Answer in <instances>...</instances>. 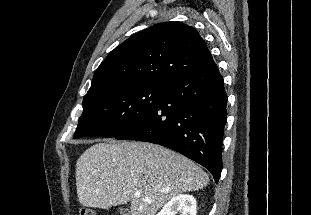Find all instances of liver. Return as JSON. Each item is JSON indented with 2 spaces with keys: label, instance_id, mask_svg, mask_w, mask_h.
Instances as JSON below:
<instances>
[{
  "label": "liver",
  "instance_id": "liver-1",
  "mask_svg": "<svg viewBox=\"0 0 311 215\" xmlns=\"http://www.w3.org/2000/svg\"><path fill=\"white\" fill-rule=\"evenodd\" d=\"M208 183V174L192 160L151 143L99 142L76 162L81 205L109 209L130 202L131 215H155L171 198Z\"/></svg>",
  "mask_w": 311,
  "mask_h": 215
}]
</instances>
